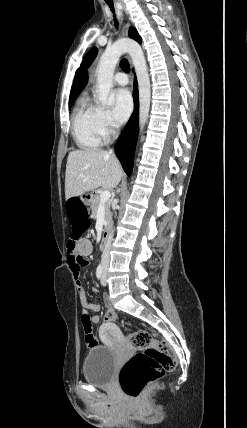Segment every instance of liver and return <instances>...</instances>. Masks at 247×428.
<instances>
[{"instance_id":"6515ba94","label":"liver","mask_w":247,"mask_h":428,"mask_svg":"<svg viewBox=\"0 0 247 428\" xmlns=\"http://www.w3.org/2000/svg\"><path fill=\"white\" fill-rule=\"evenodd\" d=\"M122 175L119 160L105 150L72 151L67 158L65 197H77L98 187L113 189L119 184Z\"/></svg>"}]
</instances>
